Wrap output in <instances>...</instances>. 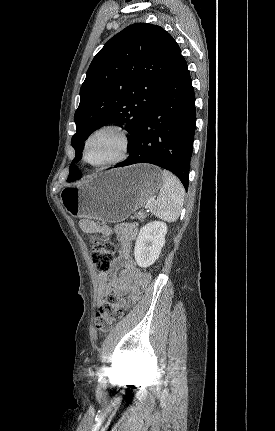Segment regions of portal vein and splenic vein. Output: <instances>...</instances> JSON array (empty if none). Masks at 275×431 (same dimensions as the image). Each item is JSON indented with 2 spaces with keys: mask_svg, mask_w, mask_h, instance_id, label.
<instances>
[{
  "mask_svg": "<svg viewBox=\"0 0 275 431\" xmlns=\"http://www.w3.org/2000/svg\"><path fill=\"white\" fill-rule=\"evenodd\" d=\"M156 196H152L149 198L148 200V204H150L151 202H153L155 200ZM148 204L145 206V208H148Z\"/></svg>",
  "mask_w": 275,
  "mask_h": 431,
  "instance_id": "portal-vein-and-splenic-vein-1",
  "label": "portal vein and splenic vein"
}]
</instances>
